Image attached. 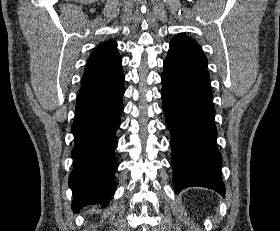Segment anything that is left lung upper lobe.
Returning a JSON list of instances; mask_svg holds the SVG:
<instances>
[{
    "label": "left lung upper lobe",
    "mask_w": 280,
    "mask_h": 231,
    "mask_svg": "<svg viewBox=\"0 0 280 231\" xmlns=\"http://www.w3.org/2000/svg\"><path fill=\"white\" fill-rule=\"evenodd\" d=\"M164 65L179 76H209L207 59L200 46L195 40L184 36H175L171 40Z\"/></svg>",
    "instance_id": "1"
}]
</instances>
